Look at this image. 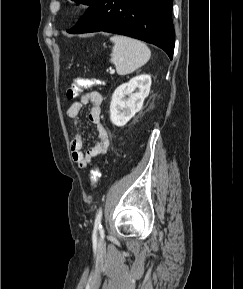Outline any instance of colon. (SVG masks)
Segmentation results:
<instances>
[{"mask_svg": "<svg viewBox=\"0 0 243 289\" xmlns=\"http://www.w3.org/2000/svg\"><path fill=\"white\" fill-rule=\"evenodd\" d=\"M96 84V81L89 78L78 77L73 80V82L67 87L66 97L71 100L77 97L83 89L90 88ZM99 168H93L90 172V184L95 187L100 178Z\"/></svg>", "mask_w": 243, "mask_h": 289, "instance_id": "1", "label": "colon"}]
</instances>
